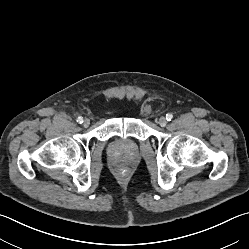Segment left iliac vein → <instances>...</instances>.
Returning <instances> with one entry per match:
<instances>
[{
  "mask_svg": "<svg viewBox=\"0 0 249 249\" xmlns=\"http://www.w3.org/2000/svg\"><path fill=\"white\" fill-rule=\"evenodd\" d=\"M157 122L162 127H164L167 124V120L165 117H160Z\"/></svg>",
  "mask_w": 249,
  "mask_h": 249,
  "instance_id": "1",
  "label": "left iliac vein"
}]
</instances>
